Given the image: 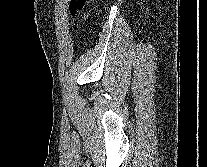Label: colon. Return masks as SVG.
<instances>
[{"instance_id":"1","label":"colon","mask_w":207,"mask_h":167,"mask_svg":"<svg viewBox=\"0 0 207 167\" xmlns=\"http://www.w3.org/2000/svg\"><path fill=\"white\" fill-rule=\"evenodd\" d=\"M87 2L88 0H70L69 12L73 16H79L83 12Z\"/></svg>"}]
</instances>
